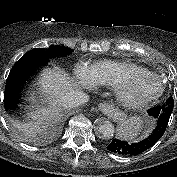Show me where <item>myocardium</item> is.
I'll return each mask as SVG.
<instances>
[{"mask_svg": "<svg viewBox=\"0 0 177 177\" xmlns=\"http://www.w3.org/2000/svg\"><path fill=\"white\" fill-rule=\"evenodd\" d=\"M130 78H150L159 83V89L157 92L146 96L133 97L126 91V82ZM165 84L163 80L152 72H143L137 74H127L123 76L114 87V92L117 99L125 106L131 108H140L147 104L157 100L164 92Z\"/></svg>", "mask_w": 177, "mask_h": 177, "instance_id": "obj_1", "label": "myocardium"}]
</instances>
